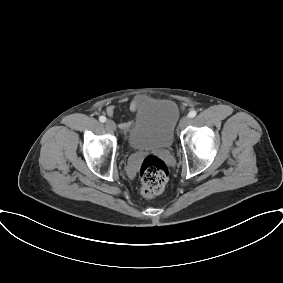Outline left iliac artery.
I'll return each instance as SVG.
<instances>
[{"mask_svg": "<svg viewBox=\"0 0 283 283\" xmlns=\"http://www.w3.org/2000/svg\"><path fill=\"white\" fill-rule=\"evenodd\" d=\"M197 115V112L195 110H192L188 113L189 118H194Z\"/></svg>", "mask_w": 283, "mask_h": 283, "instance_id": "44dca946", "label": "left iliac artery"}]
</instances>
